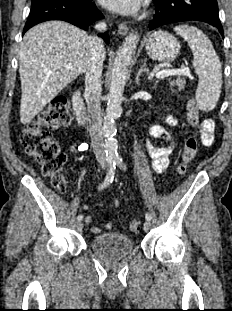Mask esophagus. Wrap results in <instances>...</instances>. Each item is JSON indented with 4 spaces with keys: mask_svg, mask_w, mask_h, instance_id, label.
I'll return each mask as SVG.
<instances>
[{
    "mask_svg": "<svg viewBox=\"0 0 232 311\" xmlns=\"http://www.w3.org/2000/svg\"><path fill=\"white\" fill-rule=\"evenodd\" d=\"M127 32H128V26L125 23L119 24L118 33L124 36L127 34Z\"/></svg>",
    "mask_w": 232,
    "mask_h": 311,
    "instance_id": "34e87169",
    "label": "esophagus"
}]
</instances>
